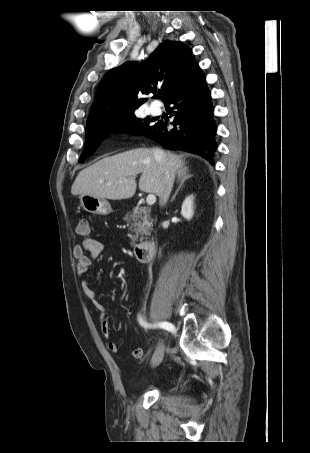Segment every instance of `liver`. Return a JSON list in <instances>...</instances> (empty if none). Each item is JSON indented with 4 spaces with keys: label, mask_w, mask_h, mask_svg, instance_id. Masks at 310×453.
Here are the masks:
<instances>
[{
    "label": "liver",
    "mask_w": 310,
    "mask_h": 453,
    "mask_svg": "<svg viewBox=\"0 0 310 453\" xmlns=\"http://www.w3.org/2000/svg\"><path fill=\"white\" fill-rule=\"evenodd\" d=\"M174 175L186 168L184 161L173 153H165ZM141 174L139 189L160 196L164 180V169L155 160L153 150L137 148L103 158L81 170L72 188V195H91L97 198L122 200L131 198L136 192L135 177Z\"/></svg>",
    "instance_id": "obj_1"
}]
</instances>
